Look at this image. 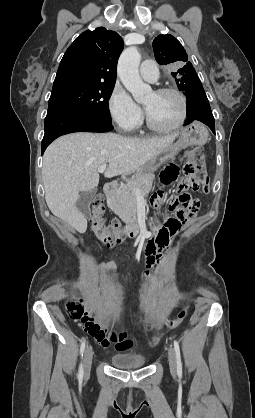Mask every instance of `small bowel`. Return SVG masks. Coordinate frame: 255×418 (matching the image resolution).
I'll list each match as a JSON object with an SVG mask.
<instances>
[{
  "instance_id": "obj_1",
  "label": "small bowel",
  "mask_w": 255,
  "mask_h": 418,
  "mask_svg": "<svg viewBox=\"0 0 255 418\" xmlns=\"http://www.w3.org/2000/svg\"><path fill=\"white\" fill-rule=\"evenodd\" d=\"M178 170L174 165H168L161 173V180L164 183H168L175 179L177 176ZM187 221L181 222L180 226L174 231L172 227H163L161 230L162 235L157 237L156 235H151L150 240L145 242V248L143 249V254L146 256L147 269L144 275V282L151 283L155 279V274L158 269L160 262L163 259V255L169 253L172 254L173 250L167 248H173L174 242L168 241L170 236L176 234L180 229L185 225ZM103 273L111 272L115 269V263L113 261H106L101 265ZM177 308L175 303L167 305L165 307V312L167 314H172ZM101 328L98 324L92 330H86L91 337H93L100 345L105 348L114 346L118 351H126L130 349L133 345L132 340L128 339L125 332L121 331H109V326ZM113 326V325H112Z\"/></svg>"
}]
</instances>
